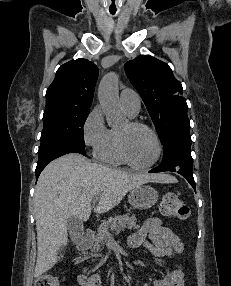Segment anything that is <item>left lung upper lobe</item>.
<instances>
[{
  "mask_svg": "<svg viewBox=\"0 0 231 286\" xmlns=\"http://www.w3.org/2000/svg\"><path fill=\"white\" fill-rule=\"evenodd\" d=\"M124 69L142 97L162 143L175 132L189 131L182 85L166 63L141 55L125 63Z\"/></svg>",
  "mask_w": 231,
  "mask_h": 286,
  "instance_id": "obj_1",
  "label": "left lung upper lobe"
}]
</instances>
